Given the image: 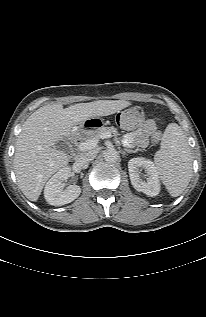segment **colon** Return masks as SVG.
Instances as JSON below:
<instances>
[{
  "label": "colon",
  "mask_w": 206,
  "mask_h": 317,
  "mask_svg": "<svg viewBox=\"0 0 206 317\" xmlns=\"http://www.w3.org/2000/svg\"><path fill=\"white\" fill-rule=\"evenodd\" d=\"M144 121V112L142 108L138 106L129 107L116 116V123L119 127L123 129H133L141 125ZM160 138V133L158 132L155 139Z\"/></svg>",
  "instance_id": "obj_1"
}]
</instances>
